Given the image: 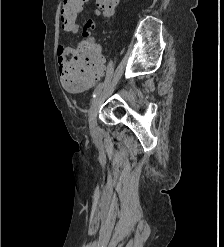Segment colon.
<instances>
[{
  "mask_svg": "<svg viewBox=\"0 0 224 247\" xmlns=\"http://www.w3.org/2000/svg\"><path fill=\"white\" fill-rule=\"evenodd\" d=\"M118 0H97L98 7L111 15ZM83 6V0H62L60 6V23L66 29L77 23V17ZM105 73V65L100 55L97 42L85 38L75 55L60 66L63 85L72 91L85 90L95 84Z\"/></svg>",
  "mask_w": 224,
  "mask_h": 247,
  "instance_id": "colon-1",
  "label": "colon"
}]
</instances>
